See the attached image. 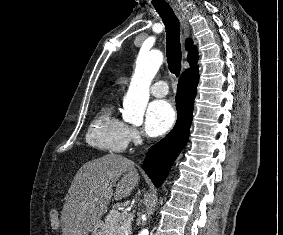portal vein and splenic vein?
Segmentation results:
<instances>
[{
    "instance_id": "obj_1",
    "label": "portal vein and splenic vein",
    "mask_w": 283,
    "mask_h": 235,
    "mask_svg": "<svg viewBox=\"0 0 283 235\" xmlns=\"http://www.w3.org/2000/svg\"><path fill=\"white\" fill-rule=\"evenodd\" d=\"M122 213H123V214H127V210H126V209H123V210H122Z\"/></svg>"
}]
</instances>
